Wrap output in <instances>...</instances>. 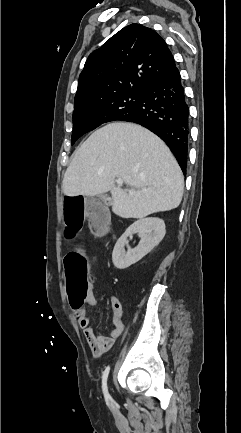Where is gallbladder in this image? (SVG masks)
Wrapping results in <instances>:
<instances>
[{
  "label": "gallbladder",
  "instance_id": "1",
  "mask_svg": "<svg viewBox=\"0 0 241 433\" xmlns=\"http://www.w3.org/2000/svg\"><path fill=\"white\" fill-rule=\"evenodd\" d=\"M98 198L89 197L87 199V211L89 214L99 215L101 212L108 214V208L102 204L101 201L105 202L108 197L105 194H100ZM101 200V201H100Z\"/></svg>",
  "mask_w": 241,
  "mask_h": 433
}]
</instances>
